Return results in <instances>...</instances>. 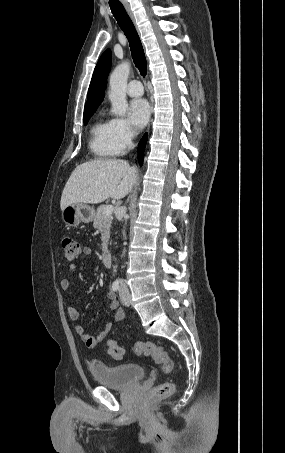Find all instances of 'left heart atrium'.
Here are the masks:
<instances>
[{
	"mask_svg": "<svg viewBox=\"0 0 285 453\" xmlns=\"http://www.w3.org/2000/svg\"><path fill=\"white\" fill-rule=\"evenodd\" d=\"M129 120L136 129H142L148 122L150 108L146 100L135 99L128 108Z\"/></svg>",
	"mask_w": 285,
	"mask_h": 453,
	"instance_id": "left-heart-atrium-1",
	"label": "left heart atrium"
}]
</instances>
